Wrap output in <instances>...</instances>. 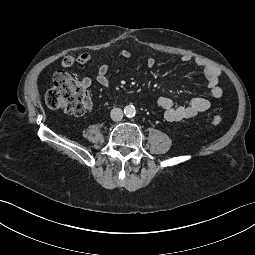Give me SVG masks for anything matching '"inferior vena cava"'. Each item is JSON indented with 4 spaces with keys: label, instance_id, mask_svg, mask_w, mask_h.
<instances>
[{
    "label": "inferior vena cava",
    "instance_id": "602c4592",
    "mask_svg": "<svg viewBox=\"0 0 255 255\" xmlns=\"http://www.w3.org/2000/svg\"><path fill=\"white\" fill-rule=\"evenodd\" d=\"M110 116L113 121H121L123 118V111L120 108H113Z\"/></svg>",
    "mask_w": 255,
    "mask_h": 255
}]
</instances>
